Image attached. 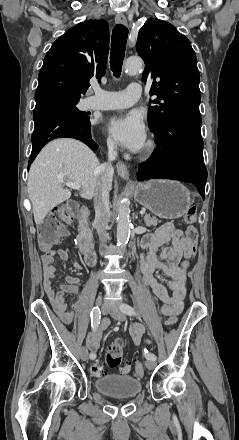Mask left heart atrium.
<instances>
[{
	"label": "left heart atrium",
	"instance_id": "1",
	"mask_svg": "<svg viewBox=\"0 0 239 440\" xmlns=\"http://www.w3.org/2000/svg\"><path fill=\"white\" fill-rule=\"evenodd\" d=\"M111 141L132 152H139L145 146L147 133L142 116L136 112L116 113L103 123Z\"/></svg>",
	"mask_w": 239,
	"mask_h": 440
}]
</instances>
